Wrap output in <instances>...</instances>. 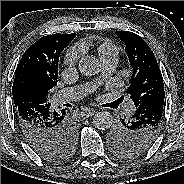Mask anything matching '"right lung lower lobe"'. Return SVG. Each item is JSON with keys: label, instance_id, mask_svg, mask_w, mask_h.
Returning <instances> with one entry per match:
<instances>
[{"label": "right lung lower lobe", "instance_id": "obj_1", "mask_svg": "<svg viewBox=\"0 0 184 184\" xmlns=\"http://www.w3.org/2000/svg\"><path fill=\"white\" fill-rule=\"evenodd\" d=\"M50 103H22L16 106V120L28 145L38 152L62 142L68 122L65 109L56 112Z\"/></svg>", "mask_w": 184, "mask_h": 184}]
</instances>
